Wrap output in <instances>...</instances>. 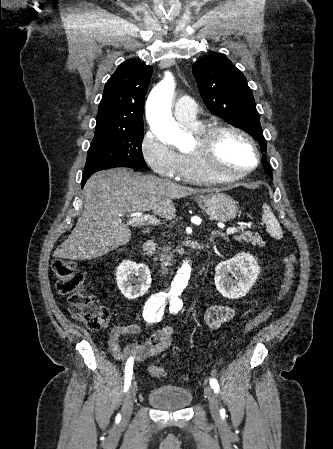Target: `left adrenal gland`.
Listing matches in <instances>:
<instances>
[{"instance_id":"a2214340","label":"left adrenal gland","mask_w":333,"mask_h":449,"mask_svg":"<svg viewBox=\"0 0 333 449\" xmlns=\"http://www.w3.org/2000/svg\"><path fill=\"white\" fill-rule=\"evenodd\" d=\"M216 236H222L225 240L227 239L225 235H223L221 232L219 231H213L210 237V241L214 242V239L216 238Z\"/></svg>"}]
</instances>
